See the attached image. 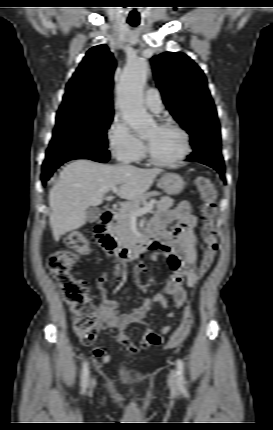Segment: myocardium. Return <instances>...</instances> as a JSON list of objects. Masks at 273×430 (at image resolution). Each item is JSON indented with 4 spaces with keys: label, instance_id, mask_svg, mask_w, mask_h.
<instances>
[{
    "label": "myocardium",
    "instance_id": "obj_1",
    "mask_svg": "<svg viewBox=\"0 0 273 430\" xmlns=\"http://www.w3.org/2000/svg\"><path fill=\"white\" fill-rule=\"evenodd\" d=\"M157 127L161 128V129H172V130L177 131L183 139V149H182V152L180 153V155L178 157H176L175 159L167 160V161L160 160L153 155L151 148H150V145L146 141L145 142V152H146V157H147L148 161L154 165L162 166V167H172V166H176V165L182 163L191 152L190 137H189L187 131L184 128H182L180 125H178L174 122H170V121L160 122L157 124Z\"/></svg>",
    "mask_w": 273,
    "mask_h": 430
}]
</instances>
